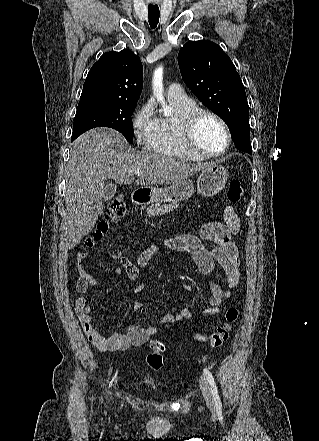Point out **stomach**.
I'll list each match as a JSON object with an SVG mask.
<instances>
[{
	"instance_id": "stomach-1",
	"label": "stomach",
	"mask_w": 319,
	"mask_h": 441,
	"mask_svg": "<svg viewBox=\"0 0 319 441\" xmlns=\"http://www.w3.org/2000/svg\"><path fill=\"white\" fill-rule=\"evenodd\" d=\"M228 170L217 164H210L202 169L197 180V191L205 197L218 194L226 185ZM194 193V184L190 180H184L178 184L164 189L151 191V198L156 203H178L190 198Z\"/></svg>"
}]
</instances>
